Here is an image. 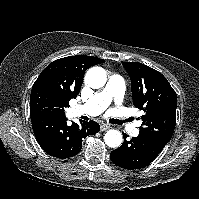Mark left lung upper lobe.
<instances>
[{
	"mask_svg": "<svg viewBox=\"0 0 199 199\" xmlns=\"http://www.w3.org/2000/svg\"><path fill=\"white\" fill-rule=\"evenodd\" d=\"M122 64L130 76L133 104L145 113L139 134L166 145L176 123V92L160 72L138 62Z\"/></svg>",
	"mask_w": 199,
	"mask_h": 199,
	"instance_id": "obj_1",
	"label": "left lung upper lobe"
}]
</instances>
